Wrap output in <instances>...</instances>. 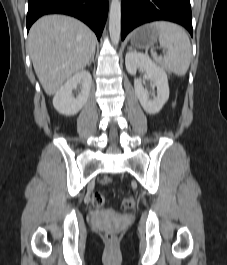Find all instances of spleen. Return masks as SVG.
Returning a JSON list of instances; mask_svg holds the SVG:
<instances>
[{"label": "spleen", "instance_id": "spleen-1", "mask_svg": "<svg viewBox=\"0 0 227 265\" xmlns=\"http://www.w3.org/2000/svg\"><path fill=\"white\" fill-rule=\"evenodd\" d=\"M146 27L158 32L160 46L166 49L163 58L166 69L178 76H184L192 57L191 43L184 29L167 21L153 22Z\"/></svg>", "mask_w": 227, "mask_h": 265}]
</instances>
